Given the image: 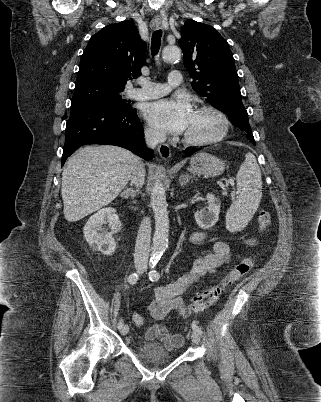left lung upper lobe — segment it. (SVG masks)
I'll return each mask as SVG.
<instances>
[{
	"instance_id": "5c2ea615",
	"label": "left lung upper lobe",
	"mask_w": 321,
	"mask_h": 402,
	"mask_svg": "<svg viewBox=\"0 0 321 402\" xmlns=\"http://www.w3.org/2000/svg\"><path fill=\"white\" fill-rule=\"evenodd\" d=\"M181 35L179 45L184 66L193 79L194 91L226 113L232 124L241 126L247 137L254 140L241 100L235 60L227 41L215 28L194 20L185 22Z\"/></svg>"
}]
</instances>
